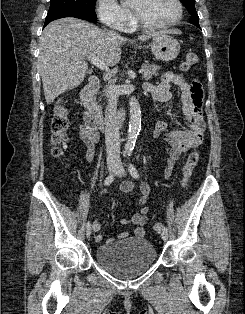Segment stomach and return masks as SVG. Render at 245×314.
<instances>
[{
    "label": "stomach",
    "mask_w": 245,
    "mask_h": 314,
    "mask_svg": "<svg viewBox=\"0 0 245 314\" xmlns=\"http://www.w3.org/2000/svg\"><path fill=\"white\" fill-rule=\"evenodd\" d=\"M150 48L157 59L167 62L178 56L180 44L170 35L163 34L153 37Z\"/></svg>",
    "instance_id": "0dacf381"
}]
</instances>
